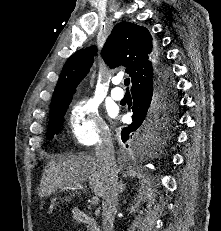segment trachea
I'll list each match as a JSON object with an SVG mask.
<instances>
[{
	"label": "trachea",
	"instance_id": "1",
	"mask_svg": "<svg viewBox=\"0 0 221 231\" xmlns=\"http://www.w3.org/2000/svg\"><path fill=\"white\" fill-rule=\"evenodd\" d=\"M124 84H125V86H129V84H130V79H129V78H126V79L124 80ZM127 90H128V87H127Z\"/></svg>",
	"mask_w": 221,
	"mask_h": 231
}]
</instances>
